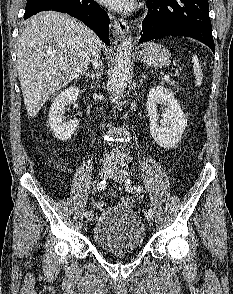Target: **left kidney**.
<instances>
[{"label": "left kidney", "instance_id": "left-kidney-1", "mask_svg": "<svg viewBox=\"0 0 233 294\" xmlns=\"http://www.w3.org/2000/svg\"><path fill=\"white\" fill-rule=\"evenodd\" d=\"M165 106L159 121L157 105ZM146 109L150 118V133L154 141L163 148H174L182 139L187 119L174 95L165 87L157 85L151 88Z\"/></svg>", "mask_w": 233, "mask_h": 294}]
</instances>
